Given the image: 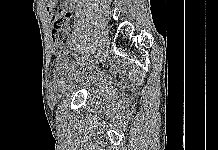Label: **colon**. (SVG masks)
<instances>
[{"mask_svg":"<svg viewBox=\"0 0 218 150\" xmlns=\"http://www.w3.org/2000/svg\"><path fill=\"white\" fill-rule=\"evenodd\" d=\"M54 52H60L67 41V31L65 29H56L52 32Z\"/></svg>","mask_w":218,"mask_h":150,"instance_id":"colon-1","label":"colon"}]
</instances>
